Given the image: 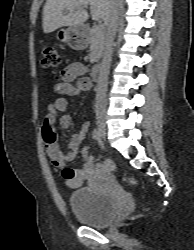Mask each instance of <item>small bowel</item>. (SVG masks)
<instances>
[{
	"mask_svg": "<svg viewBox=\"0 0 194 250\" xmlns=\"http://www.w3.org/2000/svg\"><path fill=\"white\" fill-rule=\"evenodd\" d=\"M86 67L82 63H72L64 70L63 80L58 86L61 94L48 106V113L42 127L45 147L53 166L61 171L62 179L70 187H79L88 180L96 169L93 164L86 163L81 169L65 168V163L72 162L78 153L79 147L85 139L89 129V123L84 122L79 130L72 134L69 143L65 147L59 146L55 123L59 121L61 128L68 129L72 124V118L66 114L68 108L67 96L73 97L91 88L92 83L85 75ZM103 171H109V166L104 165Z\"/></svg>",
	"mask_w": 194,
	"mask_h": 250,
	"instance_id": "obj_1",
	"label": "small bowel"
}]
</instances>
